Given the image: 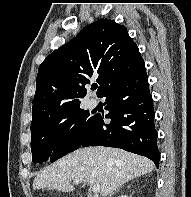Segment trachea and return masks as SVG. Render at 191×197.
I'll return each instance as SVG.
<instances>
[{"mask_svg": "<svg viewBox=\"0 0 191 197\" xmlns=\"http://www.w3.org/2000/svg\"><path fill=\"white\" fill-rule=\"evenodd\" d=\"M97 85L92 86V90H96L97 89Z\"/></svg>", "mask_w": 191, "mask_h": 197, "instance_id": "obj_1", "label": "trachea"}]
</instances>
